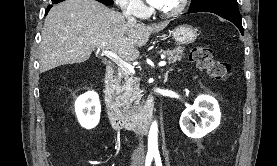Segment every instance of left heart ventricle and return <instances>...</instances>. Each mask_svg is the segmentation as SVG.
<instances>
[{"label":"left heart ventricle","instance_id":"b2bd125f","mask_svg":"<svg viewBox=\"0 0 277 166\" xmlns=\"http://www.w3.org/2000/svg\"><path fill=\"white\" fill-rule=\"evenodd\" d=\"M180 0H164L163 4L159 7L162 11L170 10L178 5Z\"/></svg>","mask_w":277,"mask_h":166}]
</instances>
